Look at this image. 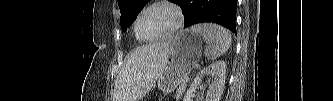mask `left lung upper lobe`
I'll return each instance as SVG.
<instances>
[{"label": "left lung upper lobe", "mask_w": 333, "mask_h": 101, "mask_svg": "<svg viewBox=\"0 0 333 101\" xmlns=\"http://www.w3.org/2000/svg\"><path fill=\"white\" fill-rule=\"evenodd\" d=\"M149 0H118L121 17L120 24L122 31H126V29L130 26V24L135 20L138 13L141 11L143 6ZM178 5H180V1L182 0H170Z\"/></svg>", "instance_id": "5c2ea615"}]
</instances>
